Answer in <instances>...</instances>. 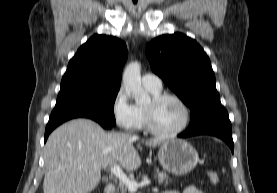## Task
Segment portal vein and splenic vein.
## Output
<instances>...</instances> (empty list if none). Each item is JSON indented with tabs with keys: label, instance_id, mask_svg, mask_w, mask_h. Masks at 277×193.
<instances>
[{
	"label": "portal vein and splenic vein",
	"instance_id": "1",
	"mask_svg": "<svg viewBox=\"0 0 277 193\" xmlns=\"http://www.w3.org/2000/svg\"><path fill=\"white\" fill-rule=\"evenodd\" d=\"M110 171L128 188L130 192H136L139 187L151 184V180L148 178L143 179L139 183L130 179L117 164L111 166Z\"/></svg>",
	"mask_w": 277,
	"mask_h": 193
}]
</instances>
